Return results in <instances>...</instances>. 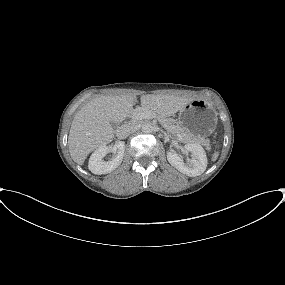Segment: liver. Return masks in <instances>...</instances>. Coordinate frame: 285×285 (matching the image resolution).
<instances>
[{"instance_id": "liver-1", "label": "liver", "mask_w": 285, "mask_h": 285, "mask_svg": "<svg viewBox=\"0 0 285 285\" xmlns=\"http://www.w3.org/2000/svg\"><path fill=\"white\" fill-rule=\"evenodd\" d=\"M141 106L161 116H171L188 103L190 97L175 95L141 96ZM137 98L134 94L105 95L92 99L74 116L71 124L68 147L74 162L82 165L93 150L110 143L114 138L113 123H120L133 112Z\"/></svg>"}]
</instances>
